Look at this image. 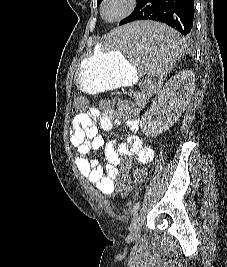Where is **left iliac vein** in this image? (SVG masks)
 Returning a JSON list of instances; mask_svg holds the SVG:
<instances>
[{
	"mask_svg": "<svg viewBox=\"0 0 227 267\" xmlns=\"http://www.w3.org/2000/svg\"><path fill=\"white\" fill-rule=\"evenodd\" d=\"M139 234H140V215L136 213L131 222L130 235L132 237H138Z\"/></svg>",
	"mask_w": 227,
	"mask_h": 267,
	"instance_id": "obj_1",
	"label": "left iliac vein"
}]
</instances>
